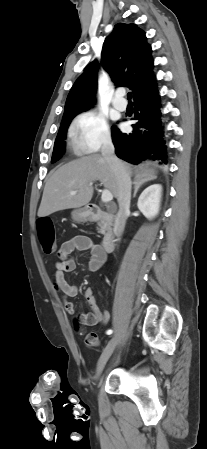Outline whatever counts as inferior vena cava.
Instances as JSON below:
<instances>
[{"label": "inferior vena cava", "instance_id": "602c4592", "mask_svg": "<svg viewBox=\"0 0 207 449\" xmlns=\"http://www.w3.org/2000/svg\"><path fill=\"white\" fill-rule=\"evenodd\" d=\"M101 153L116 178L119 210L115 217L114 232L118 236H121L124 231L127 215L130 209L131 179L124 164L116 157L115 148L110 138L104 141L101 148Z\"/></svg>", "mask_w": 207, "mask_h": 449}]
</instances>
